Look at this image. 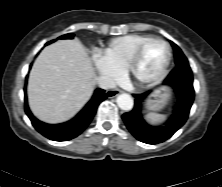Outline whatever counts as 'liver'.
Instances as JSON below:
<instances>
[{"label":"liver","instance_id":"obj_1","mask_svg":"<svg viewBox=\"0 0 222 187\" xmlns=\"http://www.w3.org/2000/svg\"><path fill=\"white\" fill-rule=\"evenodd\" d=\"M94 77L91 59L79 41L59 40L45 47L29 75L31 110L48 123L70 119L90 99Z\"/></svg>","mask_w":222,"mask_h":187}]
</instances>
